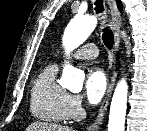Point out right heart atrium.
Masks as SVG:
<instances>
[{"instance_id":"d8ad5b80","label":"right heart atrium","mask_w":147,"mask_h":131,"mask_svg":"<svg viewBox=\"0 0 147 131\" xmlns=\"http://www.w3.org/2000/svg\"><path fill=\"white\" fill-rule=\"evenodd\" d=\"M83 114V102L81 96L69 94L65 103V116L68 120H76Z\"/></svg>"}]
</instances>
